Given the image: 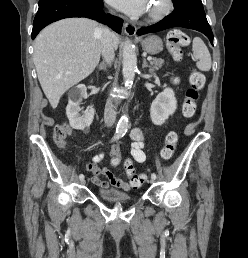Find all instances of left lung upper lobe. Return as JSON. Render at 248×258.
Segmentation results:
<instances>
[{
	"mask_svg": "<svg viewBox=\"0 0 248 258\" xmlns=\"http://www.w3.org/2000/svg\"><path fill=\"white\" fill-rule=\"evenodd\" d=\"M174 8H187L190 6H202L201 0H172Z\"/></svg>",
	"mask_w": 248,
	"mask_h": 258,
	"instance_id": "1",
	"label": "left lung upper lobe"
}]
</instances>
